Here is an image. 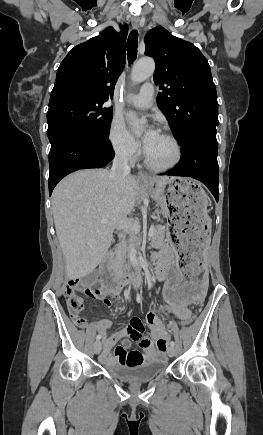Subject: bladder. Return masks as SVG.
Segmentation results:
<instances>
[{
  "label": "bladder",
  "instance_id": "bladder-1",
  "mask_svg": "<svg viewBox=\"0 0 263 435\" xmlns=\"http://www.w3.org/2000/svg\"><path fill=\"white\" fill-rule=\"evenodd\" d=\"M167 361L163 358L148 360L135 365L106 364V369L115 377L128 382H145L162 374Z\"/></svg>",
  "mask_w": 263,
  "mask_h": 435
}]
</instances>
